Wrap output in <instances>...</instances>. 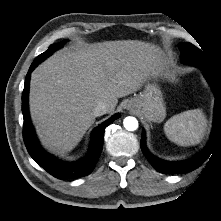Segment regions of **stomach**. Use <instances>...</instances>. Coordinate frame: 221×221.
I'll list each match as a JSON object with an SVG mask.
<instances>
[{"label":"stomach","instance_id":"obj_1","mask_svg":"<svg viewBox=\"0 0 221 221\" xmlns=\"http://www.w3.org/2000/svg\"><path fill=\"white\" fill-rule=\"evenodd\" d=\"M129 108L139 111L149 122L160 123L166 117L162 92L156 83H147L143 92L129 101Z\"/></svg>","mask_w":221,"mask_h":221}]
</instances>
